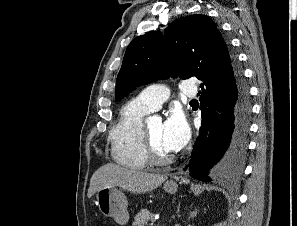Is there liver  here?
Wrapping results in <instances>:
<instances>
[{"instance_id":"6515ba94","label":"liver","mask_w":297,"mask_h":226,"mask_svg":"<svg viewBox=\"0 0 297 226\" xmlns=\"http://www.w3.org/2000/svg\"><path fill=\"white\" fill-rule=\"evenodd\" d=\"M167 175L146 173L107 163L92 175L87 196L91 198L103 187L119 186L131 193H146L160 186Z\"/></svg>"}]
</instances>
